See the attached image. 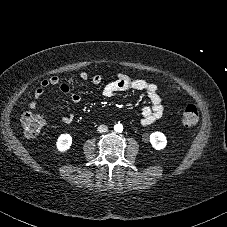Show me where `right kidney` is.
Masks as SVG:
<instances>
[{"label": "right kidney", "mask_w": 227, "mask_h": 227, "mask_svg": "<svg viewBox=\"0 0 227 227\" xmlns=\"http://www.w3.org/2000/svg\"><path fill=\"white\" fill-rule=\"evenodd\" d=\"M72 144V137L70 134H61L56 142V147L58 151L65 152L67 151Z\"/></svg>", "instance_id": "obj_1"}]
</instances>
